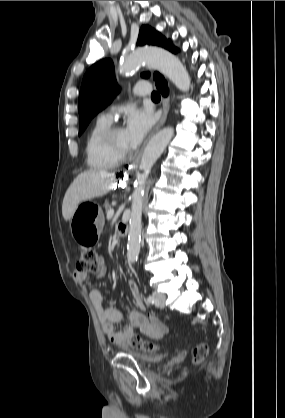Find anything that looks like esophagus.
I'll return each mask as SVG.
<instances>
[{
  "instance_id": "34e87169",
  "label": "esophagus",
  "mask_w": 285,
  "mask_h": 418,
  "mask_svg": "<svg viewBox=\"0 0 285 418\" xmlns=\"http://www.w3.org/2000/svg\"><path fill=\"white\" fill-rule=\"evenodd\" d=\"M168 111H169V99L164 97L162 99V114H161V118L158 122V124L155 126V128L152 130V132L150 133L148 139L154 135L165 123L167 115H168ZM143 149L141 150V152L138 154L137 158L134 160V162L129 166L130 170L136 169L140 163V159H141V155H142Z\"/></svg>"
}]
</instances>
